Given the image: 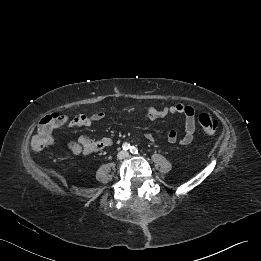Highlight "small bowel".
<instances>
[{
	"instance_id": "small-bowel-1",
	"label": "small bowel",
	"mask_w": 261,
	"mask_h": 261,
	"mask_svg": "<svg viewBox=\"0 0 261 261\" xmlns=\"http://www.w3.org/2000/svg\"><path fill=\"white\" fill-rule=\"evenodd\" d=\"M183 114L185 117L184 121V135L179 139L178 133L175 130H171L168 133L169 143L179 142L182 145L190 144L194 139V134L196 131V121H195V111L194 109L185 104H177L169 107H164L162 109H157L155 107H150L146 111L145 118L150 121L157 120L159 118H164L169 115ZM105 114L101 111H97L93 114H81L73 118L71 121L65 124L66 130H75L81 127H89L93 123L103 120ZM146 139L150 142L155 140V135L153 132H148L145 135ZM113 145V140L109 137H90L82 135L78 137L76 141L71 142L68 145V154L74 155H89L92 153H97L105 148L111 147Z\"/></svg>"
}]
</instances>
